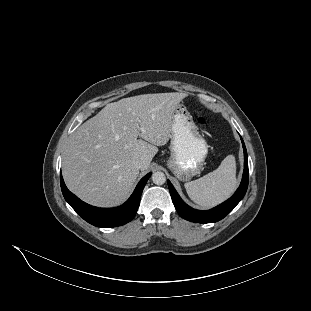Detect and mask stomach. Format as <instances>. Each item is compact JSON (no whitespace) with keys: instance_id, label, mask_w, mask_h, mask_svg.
<instances>
[{"instance_id":"1","label":"stomach","mask_w":311,"mask_h":311,"mask_svg":"<svg viewBox=\"0 0 311 311\" xmlns=\"http://www.w3.org/2000/svg\"><path fill=\"white\" fill-rule=\"evenodd\" d=\"M169 149L167 167L180 181H189L200 173L209 146L183 103L178 104L173 114Z\"/></svg>"}]
</instances>
